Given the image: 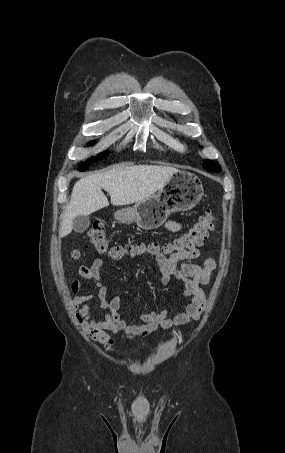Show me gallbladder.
<instances>
[{
    "mask_svg": "<svg viewBox=\"0 0 285 453\" xmlns=\"http://www.w3.org/2000/svg\"><path fill=\"white\" fill-rule=\"evenodd\" d=\"M90 220L88 216H76L73 219V230L77 233H83L89 227Z\"/></svg>",
    "mask_w": 285,
    "mask_h": 453,
    "instance_id": "gallbladder-1",
    "label": "gallbladder"
}]
</instances>
